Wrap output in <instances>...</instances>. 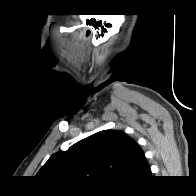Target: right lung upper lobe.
Returning a JSON list of instances; mask_svg holds the SVG:
<instances>
[{"mask_svg":"<svg viewBox=\"0 0 196 196\" xmlns=\"http://www.w3.org/2000/svg\"><path fill=\"white\" fill-rule=\"evenodd\" d=\"M151 174L143 150L119 130H103L53 154L36 177L57 185L139 184Z\"/></svg>","mask_w":196,"mask_h":196,"instance_id":"cb5924a9","label":"right lung upper lobe"}]
</instances>
